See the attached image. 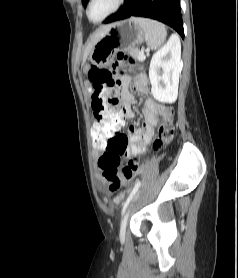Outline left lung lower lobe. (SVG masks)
I'll return each mask as SVG.
<instances>
[{
	"label": "left lung lower lobe",
	"instance_id": "1",
	"mask_svg": "<svg viewBox=\"0 0 238 278\" xmlns=\"http://www.w3.org/2000/svg\"><path fill=\"white\" fill-rule=\"evenodd\" d=\"M131 16L161 21L171 26L184 38L179 0H125L121 11L109 16L104 23L123 20Z\"/></svg>",
	"mask_w": 238,
	"mask_h": 278
}]
</instances>
